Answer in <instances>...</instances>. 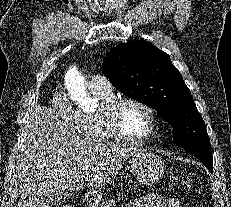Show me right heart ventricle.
<instances>
[{
  "instance_id": "right-heart-ventricle-1",
  "label": "right heart ventricle",
  "mask_w": 231,
  "mask_h": 207,
  "mask_svg": "<svg viewBox=\"0 0 231 207\" xmlns=\"http://www.w3.org/2000/svg\"><path fill=\"white\" fill-rule=\"evenodd\" d=\"M98 105L92 112L78 113V133L86 139L106 142L116 141L119 138L110 130L106 123V110L108 106L116 99L114 92L111 90L91 89Z\"/></svg>"
}]
</instances>
